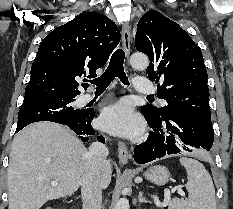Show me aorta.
Listing matches in <instances>:
<instances>
[{
  "mask_svg": "<svg viewBox=\"0 0 233 209\" xmlns=\"http://www.w3.org/2000/svg\"><path fill=\"white\" fill-rule=\"evenodd\" d=\"M130 64L135 69H146L149 65V59L144 54H133L130 58ZM114 209H129V201L126 198H120Z\"/></svg>",
  "mask_w": 233,
  "mask_h": 209,
  "instance_id": "aorta-1",
  "label": "aorta"
}]
</instances>
